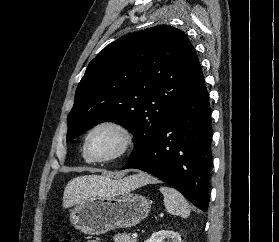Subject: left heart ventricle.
<instances>
[{
  "label": "left heart ventricle",
  "mask_w": 279,
  "mask_h": 242,
  "mask_svg": "<svg viewBox=\"0 0 279 242\" xmlns=\"http://www.w3.org/2000/svg\"><path fill=\"white\" fill-rule=\"evenodd\" d=\"M121 144L120 134L111 128H102L90 138L88 149L91 156L103 158L113 154Z\"/></svg>",
  "instance_id": "obj_1"
}]
</instances>
